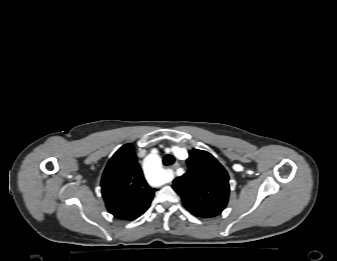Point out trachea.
<instances>
[{"instance_id": "trachea-1", "label": "trachea", "mask_w": 337, "mask_h": 261, "mask_svg": "<svg viewBox=\"0 0 337 261\" xmlns=\"http://www.w3.org/2000/svg\"><path fill=\"white\" fill-rule=\"evenodd\" d=\"M175 162V159L172 155H165L163 158L164 165H172Z\"/></svg>"}]
</instances>
